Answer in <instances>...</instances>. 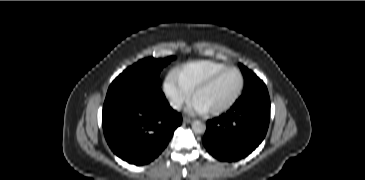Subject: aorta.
I'll use <instances>...</instances> for the list:
<instances>
[{
  "instance_id": "1",
  "label": "aorta",
  "mask_w": 365,
  "mask_h": 180,
  "mask_svg": "<svg viewBox=\"0 0 365 180\" xmlns=\"http://www.w3.org/2000/svg\"><path fill=\"white\" fill-rule=\"evenodd\" d=\"M192 130L196 134H202L206 130V125L201 121H194L192 123Z\"/></svg>"
}]
</instances>
